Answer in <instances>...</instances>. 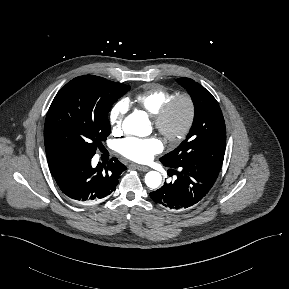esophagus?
<instances>
[{
    "mask_svg": "<svg viewBox=\"0 0 289 289\" xmlns=\"http://www.w3.org/2000/svg\"><path fill=\"white\" fill-rule=\"evenodd\" d=\"M130 167L138 169L139 171H143V172H147L149 170L148 167L137 165V164H131Z\"/></svg>",
    "mask_w": 289,
    "mask_h": 289,
    "instance_id": "1",
    "label": "esophagus"
}]
</instances>
